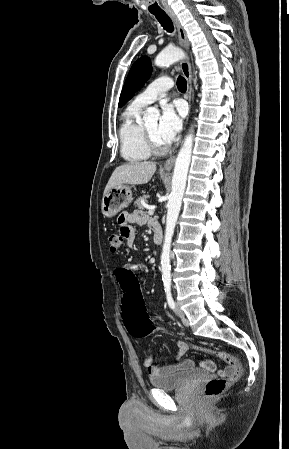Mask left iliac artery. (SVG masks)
<instances>
[{
    "mask_svg": "<svg viewBox=\"0 0 289 449\" xmlns=\"http://www.w3.org/2000/svg\"><path fill=\"white\" fill-rule=\"evenodd\" d=\"M165 292H166V298H167V302H168L169 307L171 309H174L175 308V302H174L173 297H172L171 289L168 288V289L165 290Z\"/></svg>",
    "mask_w": 289,
    "mask_h": 449,
    "instance_id": "obj_1",
    "label": "left iliac artery"
}]
</instances>
